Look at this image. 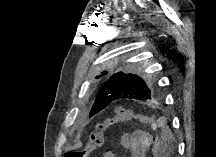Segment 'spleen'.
Masks as SVG:
<instances>
[{
	"mask_svg": "<svg viewBox=\"0 0 216 157\" xmlns=\"http://www.w3.org/2000/svg\"><path fill=\"white\" fill-rule=\"evenodd\" d=\"M172 139H173V136H172V134L170 133V131H168V140H169V141H172Z\"/></svg>",
	"mask_w": 216,
	"mask_h": 157,
	"instance_id": "spleen-1",
	"label": "spleen"
}]
</instances>
